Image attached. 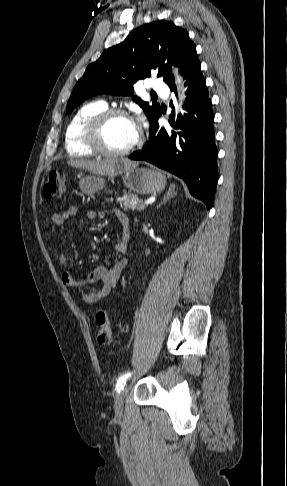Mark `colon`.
<instances>
[{
  "label": "colon",
  "mask_w": 287,
  "mask_h": 486,
  "mask_svg": "<svg viewBox=\"0 0 287 486\" xmlns=\"http://www.w3.org/2000/svg\"><path fill=\"white\" fill-rule=\"evenodd\" d=\"M64 192L63 175L59 171H51L47 174L43 186V196L51 199L62 195ZM96 339L99 345H108L112 340L113 319L105 310H99L95 317Z\"/></svg>",
  "instance_id": "5ec220e1"
}]
</instances>
